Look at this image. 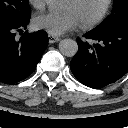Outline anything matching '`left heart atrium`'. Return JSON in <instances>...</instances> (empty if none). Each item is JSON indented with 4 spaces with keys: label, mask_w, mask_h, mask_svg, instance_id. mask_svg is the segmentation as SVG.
Instances as JSON below:
<instances>
[{
    "label": "left heart atrium",
    "mask_w": 128,
    "mask_h": 128,
    "mask_svg": "<svg viewBox=\"0 0 128 128\" xmlns=\"http://www.w3.org/2000/svg\"><path fill=\"white\" fill-rule=\"evenodd\" d=\"M35 28L44 30L52 35H62L79 24V19L72 11L63 13L42 12L37 14L33 19Z\"/></svg>",
    "instance_id": "left-heart-atrium-1"
}]
</instances>
